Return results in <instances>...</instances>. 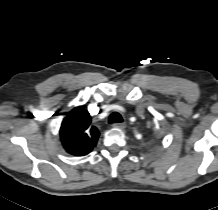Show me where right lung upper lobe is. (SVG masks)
Here are the masks:
<instances>
[{
	"label": "right lung upper lobe",
	"instance_id": "right-lung-upper-lobe-1",
	"mask_svg": "<svg viewBox=\"0 0 218 210\" xmlns=\"http://www.w3.org/2000/svg\"><path fill=\"white\" fill-rule=\"evenodd\" d=\"M99 131L91 125V117L84 107L74 108L64 118L60 138L65 150L75 156H84L92 151Z\"/></svg>",
	"mask_w": 218,
	"mask_h": 210
}]
</instances>
